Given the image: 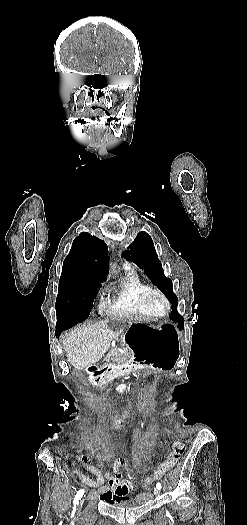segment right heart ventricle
<instances>
[{"mask_svg":"<svg viewBox=\"0 0 247 525\" xmlns=\"http://www.w3.org/2000/svg\"><path fill=\"white\" fill-rule=\"evenodd\" d=\"M126 270L119 286V302H103L101 313L105 317H150L145 309L147 300L139 293L143 284L142 280L129 271L128 265L124 264ZM153 321V318H152Z\"/></svg>","mask_w":247,"mask_h":525,"instance_id":"1","label":"right heart ventricle"}]
</instances>
